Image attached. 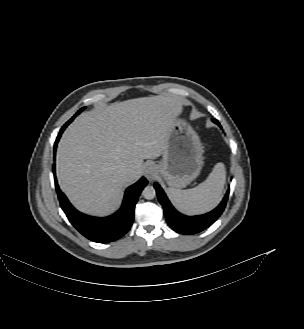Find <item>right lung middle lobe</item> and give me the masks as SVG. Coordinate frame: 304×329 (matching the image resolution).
<instances>
[{"instance_id": "1", "label": "right lung middle lobe", "mask_w": 304, "mask_h": 329, "mask_svg": "<svg viewBox=\"0 0 304 329\" xmlns=\"http://www.w3.org/2000/svg\"><path fill=\"white\" fill-rule=\"evenodd\" d=\"M85 109V107L81 108L63 127L66 128L72 121L73 119L79 115L83 110Z\"/></svg>"}]
</instances>
